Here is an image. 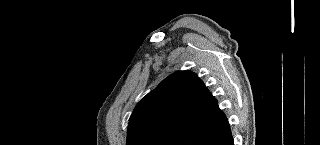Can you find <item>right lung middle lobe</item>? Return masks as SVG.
<instances>
[{
    "label": "right lung middle lobe",
    "mask_w": 320,
    "mask_h": 145,
    "mask_svg": "<svg viewBox=\"0 0 320 145\" xmlns=\"http://www.w3.org/2000/svg\"><path fill=\"white\" fill-rule=\"evenodd\" d=\"M176 132H162L153 134L141 140L137 145H167V143L176 135Z\"/></svg>",
    "instance_id": "right-lung-middle-lobe-1"
}]
</instances>
